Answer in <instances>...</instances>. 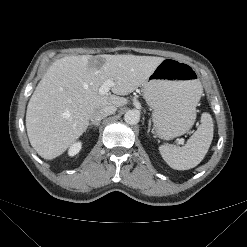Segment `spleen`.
<instances>
[{"label":"spleen","instance_id":"3e777b00","mask_svg":"<svg viewBox=\"0 0 247 247\" xmlns=\"http://www.w3.org/2000/svg\"><path fill=\"white\" fill-rule=\"evenodd\" d=\"M213 120L209 113L201 115V124L182 147L164 144L159 147L164 161L173 169L196 167L205 157L213 139Z\"/></svg>","mask_w":247,"mask_h":247}]
</instances>
